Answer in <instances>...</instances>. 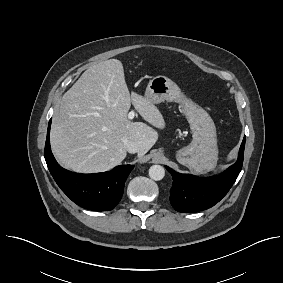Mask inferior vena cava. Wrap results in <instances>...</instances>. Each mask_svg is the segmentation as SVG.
Here are the masks:
<instances>
[{
	"label": "inferior vena cava",
	"instance_id": "1",
	"mask_svg": "<svg viewBox=\"0 0 283 283\" xmlns=\"http://www.w3.org/2000/svg\"><path fill=\"white\" fill-rule=\"evenodd\" d=\"M124 148L131 154L137 153L139 151L138 144L132 140H124Z\"/></svg>",
	"mask_w": 283,
	"mask_h": 283
}]
</instances>
